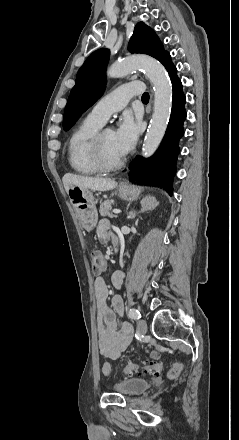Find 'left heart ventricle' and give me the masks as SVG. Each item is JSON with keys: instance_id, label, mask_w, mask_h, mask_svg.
I'll list each match as a JSON object with an SVG mask.
<instances>
[{"instance_id": "left-heart-ventricle-1", "label": "left heart ventricle", "mask_w": 239, "mask_h": 440, "mask_svg": "<svg viewBox=\"0 0 239 440\" xmlns=\"http://www.w3.org/2000/svg\"><path fill=\"white\" fill-rule=\"evenodd\" d=\"M102 147L104 155L110 163L114 162L117 158L122 156L115 143L114 132L110 129H106L103 133Z\"/></svg>"}]
</instances>
